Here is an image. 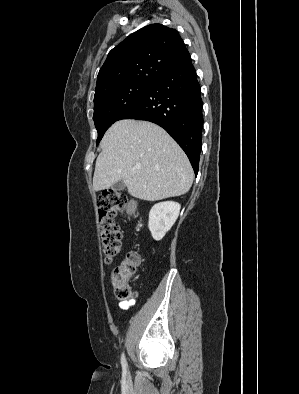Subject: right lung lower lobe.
Wrapping results in <instances>:
<instances>
[{
    "instance_id": "obj_1",
    "label": "right lung lower lobe",
    "mask_w": 299,
    "mask_h": 394,
    "mask_svg": "<svg viewBox=\"0 0 299 394\" xmlns=\"http://www.w3.org/2000/svg\"><path fill=\"white\" fill-rule=\"evenodd\" d=\"M203 103L196 71L188 55L158 76L121 119L146 120L164 128L188 156L198 173Z\"/></svg>"
}]
</instances>
